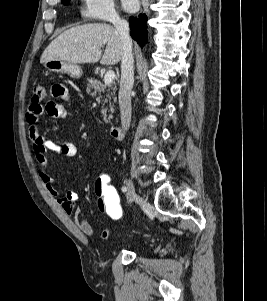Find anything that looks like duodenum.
<instances>
[{
  "label": "duodenum",
  "mask_w": 267,
  "mask_h": 301,
  "mask_svg": "<svg viewBox=\"0 0 267 301\" xmlns=\"http://www.w3.org/2000/svg\"><path fill=\"white\" fill-rule=\"evenodd\" d=\"M110 135L113 139H118L122 135V128L120 126H114L110 130Z\"/></svg>",
  "instance_id": "duodenum-1"
}]
</instances>
